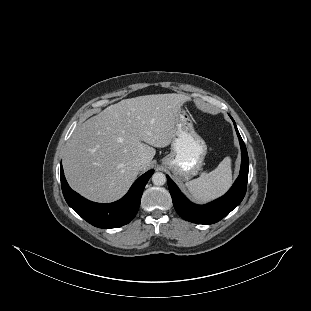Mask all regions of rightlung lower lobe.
Returning a JSON list of instances; mask_svg holds the SVG:
<instances>
[{
    "instance_id": "98d812e1",
    "label": "right lung lower lobe",
    "mask_w": 311,
    "mask_h": 311,
    "mask_svg": "<svg viewBox=\"0 0 311 311\" xmlns=\"http://www.w3.org/2000/svg\"><path fill=\"white\" fill-rule=\"evenodd\" d=\"M153 173L154 170H150L140 176L122 199L100 204L73 191L65 179L62 164L60 168L62 192L66 202L84 220L98 228H117L128 224L139 209L143 190Z\"/></svg>"
}]
</instances>
